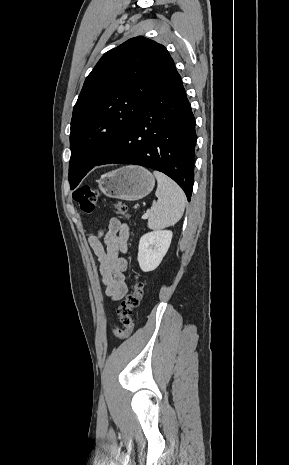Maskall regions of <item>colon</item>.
I'll use <instances>...</instances> for the list:
<instances>
[{"label": "colon", "mask_w": 289, "mask_h": 465, "mask_svg": "<svg viewBox=\"0 0 289 465\" xmlns=\"http://www.w3.org/2000/svg\"><path fill=\"white\" fill-rule=\"evenodd\" d=\"M73 199L78 203L81 211L84 214H90L95 210L100 192L97 188L84 185L75 189L72 193ZM115 209L120 218L126 219L128 211L126 205L121 202L115 203ZM143 296V283L139 280L138 275L132 276V291L125 297L118 307V316L122 324V328H113L112 332L119 339H126L133 331L134 323L132 320L133 310L136 309Z\"/></svg>", "instance_id": "obj_1"}]
</instances>
